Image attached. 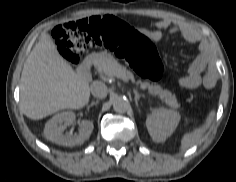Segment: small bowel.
Wrapping results in <instances>:
<instances>
[{
    "label": "small bowel",
    "mask_w": 236,
    "mask_h": 182,
    "mask_svg": "<svg viewBox=\"0 0 236 182\" xmlns=\"http://www.w3.org/2000/svg\"><path fill=\"white\" fill-rule=\"evenodd\" d=\"M142 33L153 42H159L165 33H179L183 38L191 44L199 40V35L196 30L179 22H175L169 18L161 19L155 24V29H143ZM207 65V49L206 46L200 47V53L189 67L185 76L179 80V86L182 89L192 90L200 85L212 87L214 83L213 73L210 68L202 75L203 70Z\"/></svg>",
    "instance_id": "small-bowel-1"
}]
</instances>
